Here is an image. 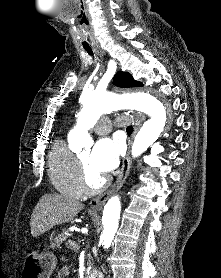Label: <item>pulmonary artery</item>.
Returning a JSON list of instances; mask_svg holds the SVG:
<instances>
[{"label":"pulmonary artery","mask_w":221,"mask_h":278,"mask_svg":"<svg viewBox=\"0 0 221 278\" xmlns=\"http://www.w3.org/2000/svg\"><path fill=\"white\" fill-rule=\"evenodd\" d=\"M125 122H129L131 121V119L129 117H125L122 119ZM112 123L111 120L108 118H103L101 119L98 124L95 126V131L98 134H105L107 132H109V130L111 129Z\"/></svg>","instance_id":"e3ab8cb5"}]
</instances>
